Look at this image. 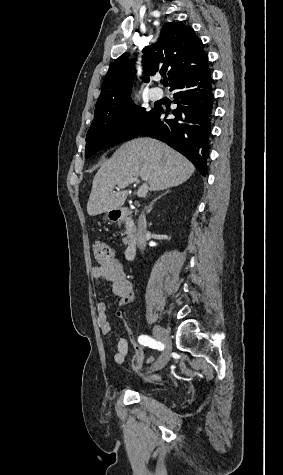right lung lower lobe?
Returning <instances> with one entry per match:
<instances>
[{"instance_id": "1", "label": "right lung lower lobe", "mask_w": 283, "mask_h": 475, "mask_svg": "<svg viewBox=\"0 0 283 475\" xmlns=\"http://www.w3.org/2000/svg\"><path fill=\"white\" fill-rule=\"evenodd\" d=\"M213 80L210 69L186 77L173 86L178 106L168 119V110L157 107L154 116L139 131L144 135L166 142L187 157L205 176L208 140L214 110Z\"/></svg>"}]
</instances>
